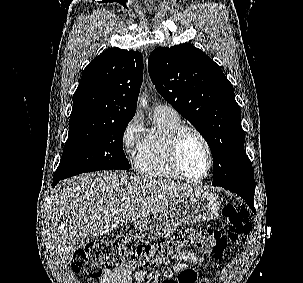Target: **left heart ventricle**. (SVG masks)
<instances>
[{"mask_svg":"<svg viewBox=\"0 0 303 283\" xmlns=\"http://www.w3.org/2000/svg\"><path fill=\"white\" fill-rule=\"evenodd\" d=\"M181 164L185 173L191 178H200L207 169L208 158L206 150L199 138L187 133L180 148Z\"/></svg>","mask_w":303,"mask_h":283,"instance_id":"1","label":"left heart ventricle"}]
</instances>
